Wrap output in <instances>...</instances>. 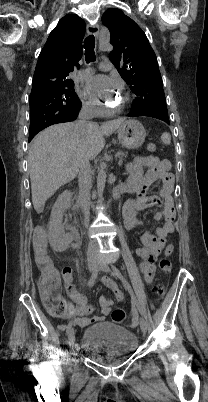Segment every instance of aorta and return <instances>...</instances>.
I'll use <instances>...</instances> for the list:
<instances>
[{"label": "aorta", "mask_w": 208, "mask_h": 402, "mask_svg": "<svg viewBox=\"0 0 208 402\" xmlns=\"http://www.w3.org/2000/svg\"><path fill=\"white\" fill-rule=\"evenodd\" d=\"M98 175H99V177L96 182V185H97L96 195L99 198H102L106 193V185H107L106 174L103 170H100L98 172ZM104 255H107V252H104Z\"/></svg>", "instance_id": "1"}]
</instances>
